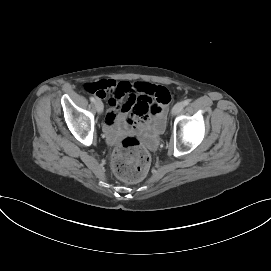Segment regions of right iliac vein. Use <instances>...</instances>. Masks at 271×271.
<instances>
[{
    "mask_svg": "<svg viewBox=\"0 0 271 271\" xmlns=\"http://www.w3.org/2000/svg\"><path fill=\"white\" fill-rule=\"evenodd\" d=\"M95 108H96V110H97L98 113H102L103 109H104L102 101L96 100L95 101Z\"/></svg>",
    "mask_w": 271,
    "mask_h": 271,
    "instance_id": "right-iliac-vein-1",
    "label": "right iliac vein"
}]
</instances>
